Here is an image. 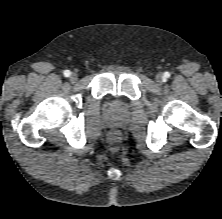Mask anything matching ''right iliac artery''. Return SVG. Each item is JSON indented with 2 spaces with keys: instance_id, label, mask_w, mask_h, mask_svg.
I'll list each match as a JSON object with an SVG mask.
<instances>
[{
  "instance_id": "1",
  "label": "right iliac artery",
  "mask_w": 222,
  "mask_h": 219,
  "mask_svg": "<svg viewBox=\"0 0 222 219\" xmlns=\"http://www.w3.org/2000/svg\"><path fill=\"white\" fill-rule=\"evenodd\" d=\"M71 75V72L69 70L64 71V76L69 77Z\"/></svg>"
}]
</instances>
